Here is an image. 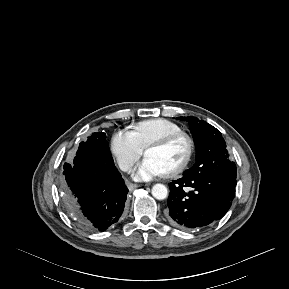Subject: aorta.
<instances>
[{
    "instance_id": "obj_1",
    "label": "aorta",
    "mask_w": 289,
    "mask_h": 289,
    "mask_svg": "<svg viewBox=\"0 0 289 289\" xmlns=\"http://www.w3.org/2000/svg\"><path fill=\"white\" fill-rule=\"evenodd\" d=\"M152 195L158 200H163L168 196L167 187L163 184H155L152 187Z\"/></svg>"
}]
</instances>
